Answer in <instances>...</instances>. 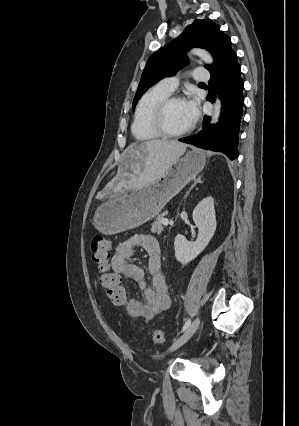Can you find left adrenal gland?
<instances>
[{"mask_svg": "<svg viewBox=\"0 0 299 426\" xmlns=\"http://www.w3.org/2000/svg\"><path fill=\"white\" fill-rule=\"evenodd\" d=\"M201 176H199L196 180H195V182L191 185V187L189 188V190L186 192V194H185V199L187 198V196L189 195V193H190V191L198 184V183H202V180H201Z\"/></svg>", "mask_w": 299, "mask_h": 426, "instance_id": "a2214340", "label": "left adrenal gland"}]
</instances>
